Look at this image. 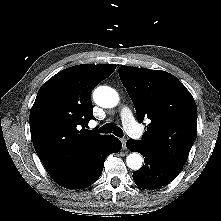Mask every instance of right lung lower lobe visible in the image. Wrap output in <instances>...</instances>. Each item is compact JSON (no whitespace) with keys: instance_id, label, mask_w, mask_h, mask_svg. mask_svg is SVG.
Listing matches in <instances>:
<instances>
[{"instance_id":"obj_1","label":"right lung lower lobe","mask_w":221,"mask_h":221,"mask_svg":"<svg viewBox=\"0 0 221 221\" xmlns=\"http://www.w3.org/2000/svg\"><path fill=\"white\" fill-rule=\"evenodd\" d=\"M121 148L120 140L108 135L101 143L52 178L61 187L68 189L88 187L100 177L106 157L119 152Z\"/></svg>"}]
</instances>
